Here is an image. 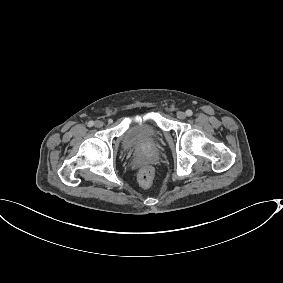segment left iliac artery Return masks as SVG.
Returning <instances> with one entry per match:
<instances>
[{
  "label": "left iliac artery",
  "mask_w": 283,
  "mask_h": 283,
  "mask_svg": "<svg viewBox=\"0 0 283 283\" xmlns=\"http://www.w3.org/2000/svg\"><path fill=\"white\" fill-rule=\"evenodd\" d=\"M192 114H193L192 110L188 109V110L186 111V115H187V116H192Z\"/></svg>",
  "instance_id": "left-iliac-artery-1"
}]
</instances>
